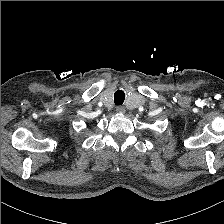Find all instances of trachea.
<instances>
[{
    "instance_id": "3493384b",
    "label": "trachea",
    "mask_w": 224,
    "mask_h": 224,
    "mask_svg": "<svg viewBox=\"0 0 224 224\" xmlns=\"http://www.w3.org/2000/svg\"><path fill=\"white\" fill-rule=\"evenodd\" d=\"M125 99V94L122 90H118L114 93V102L116 105H122Z\"/></svg>"
}]
</instances>
